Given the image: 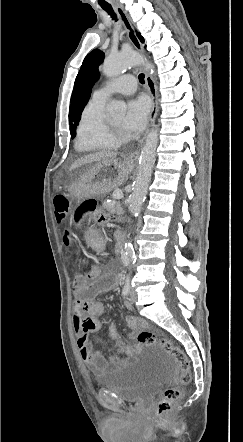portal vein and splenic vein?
Returning <instances> with one entry per match:
<instances>
[{"mask_svg":"<svg viewBox=\"0 0 243 442\" xmlns=\"http://www.w3.org/2000/svg\"><path fill=\"white\" fill-rule=\"evenodd\" d=\"M113 198L116 200L122 199L123 198V192L121 190H116L113 193Z\"/></svg>","mask_w":243,"mask_h":442,"instance_id":"1","label":"portal vein and splenic vein"}]
</instances>
